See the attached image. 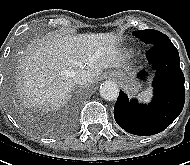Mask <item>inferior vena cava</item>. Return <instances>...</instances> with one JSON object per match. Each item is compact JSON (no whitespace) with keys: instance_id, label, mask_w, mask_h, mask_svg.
Listing matches in <instances>:
<instances>
[{"instance_id":"obj_1","label":"inferior vena cava","mask_w":190,"mask_h":165,"mask_svg":"<svg viewBox=\"0 0 190 165\" xmlns=\"http://www.w3.org/2000/svg\"><path fill=\"white\" fill-rule=\"evenodd\" d=\"M73 79L78 84H89L92 82V75L87 70H77L73 73Z\"/></svg>"}]
</instances>
